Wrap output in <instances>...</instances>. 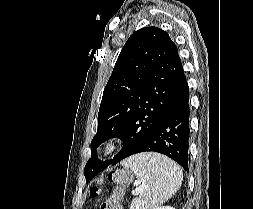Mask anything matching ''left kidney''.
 <instances>
[{
    "instance_id": "obj_1",
    "label": "left kidney",
    "mask_w": 253,
    "mask_h": 209,
    "mask_svg": "<svg viewBox=\"0 0 253 209\" xmlns=\"http://www.w3.org/2000/svg\"><path fill=\"white\" fill-rule=\"evenodd\" d=\"M151 209H175V208L171 206H160V207H153Z\"/></svg>"
}]
</instances>
